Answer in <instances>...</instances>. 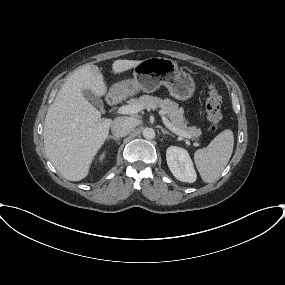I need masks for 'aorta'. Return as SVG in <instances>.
Listing matches in <instances>:
<instances>
[{
    "mask_svg": "<svg viewBox=\"0 0 285 285\" xmlns=\"http://www.w3.org/2000/svg\"><path fill=\"white\" fill-rule=\"evenodd\" d=\"M143 137L145 139H153L155 137V130L153 128H144Z\"/></svg>",
    "mask_w": 285,
    "mask_h": 285,
    "instance_id": "obj_1",
    "label": "aorta"
}]
</instances>
